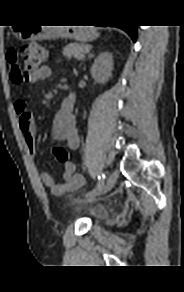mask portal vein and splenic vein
Masks as SVG:
<instances>
[{
    "label": "portal vein and splenic vein",
    "mask_w": 184,
    "mask_h": 292,
    "mask_svg": "<svg viewBox=\"0 0 184 292\" xmlns=\"http://www.w3.org/2000/svg\"><path fill=\"white\" fill-rule=\"evenodd\" d=\"M83 57V55L82 56H79V58H82Z\"/></svg>",
    "instance_id": "1"
}]
</instances>
